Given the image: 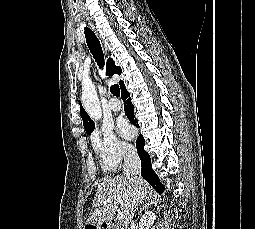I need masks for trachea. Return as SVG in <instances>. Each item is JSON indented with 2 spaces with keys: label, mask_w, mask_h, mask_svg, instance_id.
I'll return each mask as SVG.
<instances>
[{
  "label": "trachea",
  "mask_w": 255,
  "mask_h": 229,
  "mask_svg": "<svg viewBox=\"0 0 255 229\" xmlns=\"http://www.w3.org/2000/svg\"><path fill=\"white\" fill-rule=\"evenodd\" d=\"M85 37L90 52L93 55V58L95 59L99 67L102 68L104 66V54L99 39L97 38L95 33L88 27L85 28ZM110 91L115 96L120 95V88L117 84L112 85L110 87Z\"/></svg>",
  "instance_id": "3493384b"
}]
</instances>
